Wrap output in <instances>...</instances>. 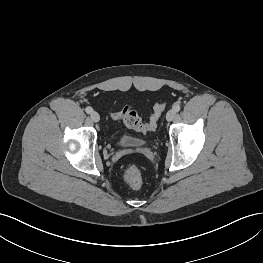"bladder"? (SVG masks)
<instances>
[{
	"instance_id": "31cf9c89",
	"label": "bladder",
	"mask_w": 263,
	"mask_h": 263,
	"mask_svg": "<svg viewBox=\"0 0 263 263\" xmlns=\"http://www.w3.org/2000/svg\"><path fill=\"white\" fill-rule=\"evenodd\" d=\"M114 142L115 144L124 147H137V146H141L144 143L142 139L129 135H125L120 139L115 140Z\"/></svg>"
}]
</instances>
